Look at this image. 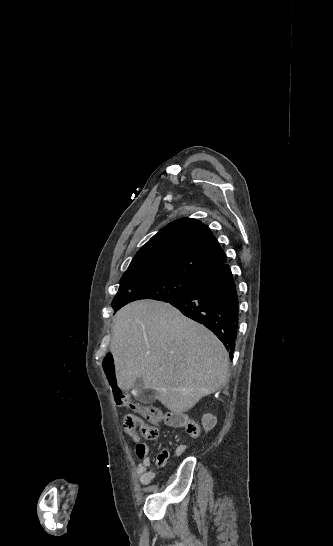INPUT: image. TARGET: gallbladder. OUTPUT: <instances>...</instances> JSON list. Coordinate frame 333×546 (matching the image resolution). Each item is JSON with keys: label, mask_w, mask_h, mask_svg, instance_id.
Masks as SVG:
<instances>
[{"label": "gallbladder", "mask_w": 333, "mask_h": 546, "mask_svg": "<svg viewBox=\"0 0 333 546\" xmlns=\"http://www.w3.org/2000/svg\"><path fill=\"white\" fill-rule=\"evenodd\" d=\"M136 391L137 398L140 401H145L147 403H151L153 401V397L146 395L144 393V383L142 378H137L133 387Z\"/></svg>", "instance_id": "gallbladder-1"}]
</instances>
